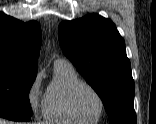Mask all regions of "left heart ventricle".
I'll return each instance as SVG.
<instances>
[{"instance_id":"b2bd125f","label":"left heart ventricle","mask_w":156,"mask_h":124,"mask_svg":"<svg viewBox=\"0 0 156 124\" xmlns=\"http://www.w3.org/2000/svg\"><path fill=\"white\" fill-rule=\"evenodd\" d=\"M77 107L80 113L89 120L95 119L101 111L99 99L87 89L79 93L77 97Z\"/></svg>"}]
</instances>
